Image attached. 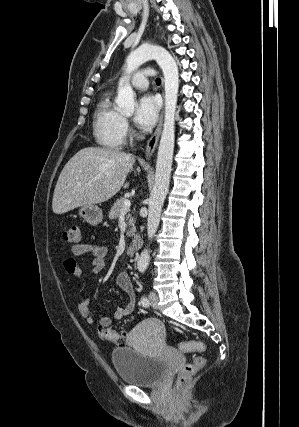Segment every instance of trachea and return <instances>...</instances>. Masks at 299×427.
Listing matches in <instances>:
<instances>
[{"instance_id": "trachea-1", "label": "trachea", "mask_w": 299, "mask_h": 427, "mask_svg": "<svg viewBox=\"0 0 299 427\" xmlns=\"http://www.w3.org/2000/svg\"><path fill=\"white\" fill-rule=\"evenodd\" d=\"M156 83H157V84H160V83H161V79H160V78H157V79H156Z\"/></svg>"}]
</instances>
